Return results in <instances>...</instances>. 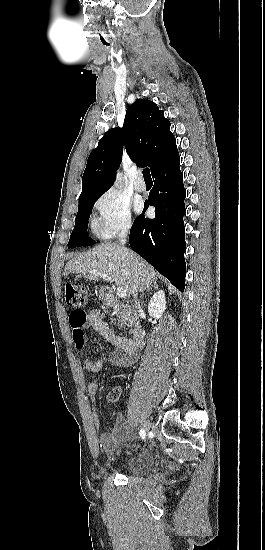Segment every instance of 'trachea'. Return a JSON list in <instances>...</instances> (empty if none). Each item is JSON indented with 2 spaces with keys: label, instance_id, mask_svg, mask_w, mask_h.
Wrapping results in <instances>:
<instances>
[{
  "label": "trachea",
  "instance_id": "3493384b",
  "mask_svg": "<svg viewBox=\"0 0 265 550\" xmlns=\"http://www.w3.org/2000/svg\"><path fill=\"white\" fill-rule=\"evenodd\" d=\"M142 173H143V177H144L145 181L146 180H152L149 168L143 169Z\"/></svg>",
  "mask_w": 265,
  "mask_h": 550
}]
</instances>
